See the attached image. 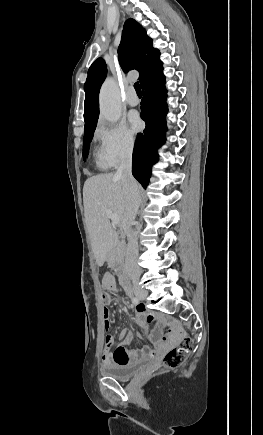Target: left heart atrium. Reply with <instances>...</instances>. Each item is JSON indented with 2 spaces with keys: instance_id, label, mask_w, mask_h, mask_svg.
Listing matches in <instances>:
<instances>
[{
  "instance_id": "1",
  "label": "left heart atrium",
  "mask_w": 263,
  "mask_h": 435,
  "mask_svg": "<svg viewBox=\"0 0 263 435\" xmlns=\"http://www.w3.org/2000/svg\"><path fill=\"white\" fill-rule=\"evenodd\" d=\"M129 123L134 132H138L142 129L143 123L140 117L137 114H132L129 117Z\"/></svg>"
}]
</instances>
